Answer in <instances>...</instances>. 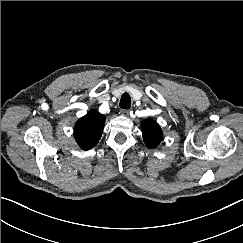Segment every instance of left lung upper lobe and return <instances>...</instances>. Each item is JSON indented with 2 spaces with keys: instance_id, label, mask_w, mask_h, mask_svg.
Segmentation results:
<instances>
[{
  "instance_id": "obj_1",
  "label": "left lung upper lobe",
  "mask_w": 243,
  "mask_h": 243,
  "mask_svg": "<svg viewBox=\"0 0 243 243\" xmlns=\"http://www.w3.org/2000/svg\"><path fill=\"white\" fill-rule=\"evenodd\" d=\"M143 138L149 148L156 147L162 140V130L160 126L152 120H144L141 124Z\"/></svg>"
}]
</instances>
